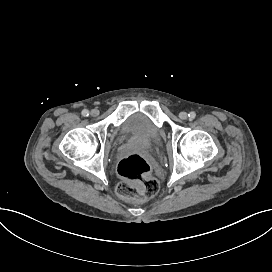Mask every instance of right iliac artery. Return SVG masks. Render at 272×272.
<instances>
[{"label": "right iliac artery", "instance_id": "right-iliac-artery-1", "mask_svg": "<svg viewBox=\"0 0 272 272\" xmlns=\"http://www.w3.org/2000/svg\"><path fill=\"white\" fill-rule=\"evenodd\" d=\"M82 115H83L84 117L89 116V111L86 110V109H84V110L82 111Z\"/></svg>", "mask_w": 272, "mask_h": 272}]
</instances>
